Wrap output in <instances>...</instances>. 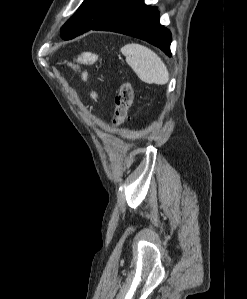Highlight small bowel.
<instances>
[{
    "instance_id": "1",
    "label": "small bowel",
    "mask_w": 247,
    "mask_h": 299,
    "mask_svg": "<svg viewBox=\"0 0 247 299\" xmlns=\"http://www.w3.org/2000/svg\"><path fill=\"white\" fill-rule=\"evenodd\" d=\"M97 58L98 57H97L96 54L84 53L81 57V62L84 63V64H92V63L96 62ZM84 78H85V75H84ZM91 97L96 99L97 98L96 93L92 92Z\"/></svg>"
}]
</instances>
